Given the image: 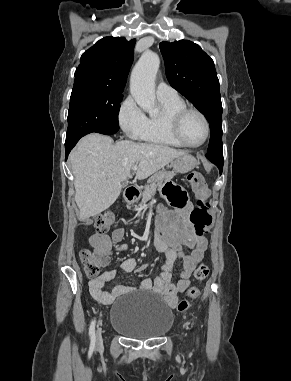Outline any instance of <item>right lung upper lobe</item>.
Wrapping results in <instances>:
<instances>
[{"label": "right lung upper lobe", "mask_w": 291, "mask_h": 381, "mask_svg": "<svg viewBox=\"0 0 291 381\" xmlns=\"http://www.w3.org/2000/svg\"><path fill=\"white\" fill-rule=\"evenodd\" d=\"M136 40L105 37L85 51L75 71L74 88L92 87L123 91Z\"/></svg>", "instance_id": "1"}]
</instances>
